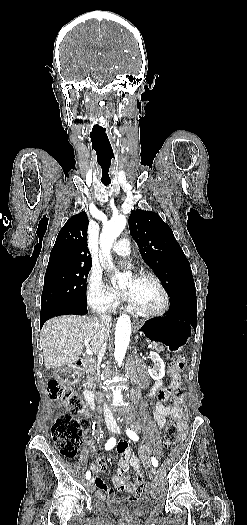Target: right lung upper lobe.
Masks as SVG:
<instances>
[{
    "label": "right lung upper lobe",
    "mask_w": 247,
    "mask_h": 525,
    "mask_svg": "<svg viewBox=\"0 0 247 525\" xmlns=\"http://www.w3.org/2000/svg\"><path fill=\"white\" fill-rule=\"evenodd\" d=\"M85 212L72 216L59 231L46 271L91 268Z\"/></svg>",
    "instance_id": "obj_1"
}]
</instances>
